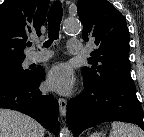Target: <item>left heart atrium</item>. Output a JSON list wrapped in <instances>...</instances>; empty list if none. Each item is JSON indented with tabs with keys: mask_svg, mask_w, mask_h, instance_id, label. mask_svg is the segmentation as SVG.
<instances>
[{
	"mask_svg": "<svg viewBox=\"0 0 144 137\" xmlns=\"http://www.w3.org/2000/svg\"><path fill=\"white\" fill-rule=\"evenodd\" d=\"M73 84L74 74L67 64L60 63L49 70L47 85L51 90L67 94L71 91Z\"/></svg>",
	"mask_w": 144,
	"mask_h": 137,
	"instance_id": "39dd6f15",
	"label": "left heart atrium"
}]
</instances>
